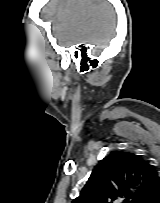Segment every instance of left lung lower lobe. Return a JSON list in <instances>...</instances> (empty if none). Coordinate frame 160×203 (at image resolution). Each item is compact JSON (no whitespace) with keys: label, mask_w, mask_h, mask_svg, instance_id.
Segmentation results:
<instances>
[{"label":"left lung lower lobe","mask_w":160,"mask_h":203,"mask_svg":"<svg viewBox=\"0 0 160 203\" xmlns=\"http://www.w3.org/2000/svg\"><path fill=\"white\" fill-rule=\"evenodd\" d=\"M151 203H160V186L158 187L157 192L154 198L152 199Z\"/></svg>","instance_id":"obj_1"}]
</instances>
